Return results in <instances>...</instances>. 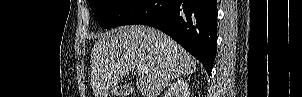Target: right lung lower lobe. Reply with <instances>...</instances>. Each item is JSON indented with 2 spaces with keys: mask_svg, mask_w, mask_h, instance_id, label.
Instances as JSON below:
<instances>
[{
  "mask_svg": "<svg viewBox=\"0 0 302 97\" xmlns=\"http://www.w3.org/2000/svg\"><path fill=\"white\" fill-rule=\"evenodd\" d=\"M217 0H144L121 24L155 27L196 57L210 75L216 56Z\"/></svg>",
  "mask_w": 302,
  "mask_h": 97,
  "instance_id": "98d812e1",
  "label": "right lung lower lobe"
}]
</instances>
